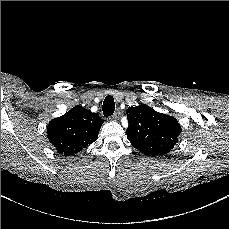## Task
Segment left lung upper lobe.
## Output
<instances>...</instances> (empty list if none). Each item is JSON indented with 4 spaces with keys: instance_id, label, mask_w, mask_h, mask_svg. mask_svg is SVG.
Segmentation results:
<instances>
[{
    "instance_id": "1",
    "label": "left lung upper lobe",
    "mask_w": 229,
    "mask_h": 229,
    "mask_svg": "<svg viewBox=\"0 0 229 229\" xmlns=\"http://www.w3.org/2000/svg\"><path fill=\"white\" fill-rule=\"evenodd\" d=\"M126 134L131 144L145 155L168 153L178 142L181 127L174 117L141 104L127 109Z\"/></svg>"
}]
</instances>
